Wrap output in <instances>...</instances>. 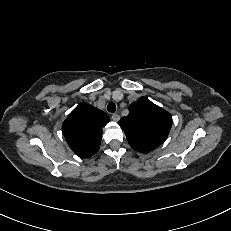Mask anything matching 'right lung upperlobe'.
<instances>
[{
  "mask_svg": "<svg viewBox=\"0 0 231 231\" xmlns=\"http://www.w3.org/2000/svg\"><path fill=\"white\" fill-rule=\"evenodd\" d=\"M109 120L106 113L82 102L63 122L62 131L74 153L86 158L99 150L102 128Z\"/></svg>",
  "mask_w": 231,
  "mask_h": 231,
  "instance_id": "right-lung-upper-lobe-1",
  "label": "right lung upper lobe"
}]
</instances>
